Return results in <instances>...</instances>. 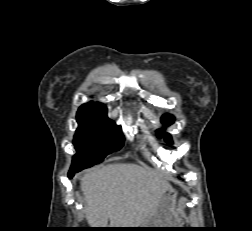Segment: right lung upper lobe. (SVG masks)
I'll use <instances>...</instances> for the list:
<instances>
[{
	"mask_svg": "<svg viewBox=\"0 0 252 231\" xmlns=\"http://www.w3.org/2000/svg\"><path fill=\"white\" fill-rule=\"evenodd\" d=\"M107 109L101 103L89 102L80 106L77 114H106Z\"/></svg>",
	"mask_w": 252,
	"mask_h": 231,
	"instance_id": "right-lung-upper-lobe-1",
	"label": "right lung upper lobe"
}]
</instances>
